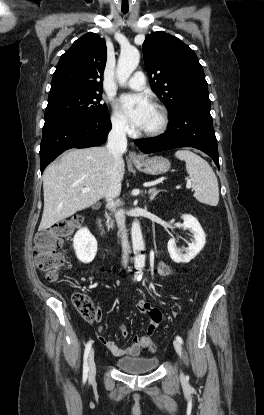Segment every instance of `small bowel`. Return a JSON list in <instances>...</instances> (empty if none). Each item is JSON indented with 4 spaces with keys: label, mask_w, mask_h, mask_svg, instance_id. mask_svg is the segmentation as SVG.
Segmentation results:
<instances>
[{
    "label": "small bowel",
    "mask_w": 264,
    "mask_h": 415,
    "mask_svg": "<svg viewBox=\"0 0 264 415\" xmlns=\"http://www.w3.org/2000/svg\"><path fill=\"white\" fill-rule=\"evenodd\" d=\"M159 276L164 278L171 273V268L168 264L161 262L159 264ZM136 309L138 312H146L149 314V321L146 327V332L148 335L152 334L158 327L161 321V313L157 309L150 308L148 301L144 298H141L136 303ZM102 328L99 327L98 331L101 332ZM120 332L124 338L129 337L128 330L124 327H120ZM99 341L115 356L120 357H138L140 351L145 349V346L141 340V337L138 335L134 336V341L126 348L119 347L115 342L106 339L103 336L98 337Z\"/></svg>",
    "instance_id": "1"
}]
</instances>
